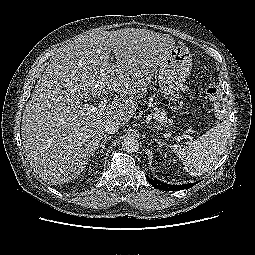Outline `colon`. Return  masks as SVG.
Here are the masks:
<instances>
[{
    "instance_id": "5ec220e1",
    "label": "colon",
    "mask_w": 255,
    "mask_h": 255,
    "mask_svg": "<svg viewBox=\"0 0 255 255\" xmlns=\"http://www.w3.org/2000/svg\"><path fill=\"white\" fill-rule=\"evenodd\" d=\"M216 89L214 88H209L208 89V94L210 95V97H214L216 95ZM170 104L172 106L173 109H178L181 107L182 104V100L179 96H174L171 98Z\"/></svg>"
}]
</instances>
